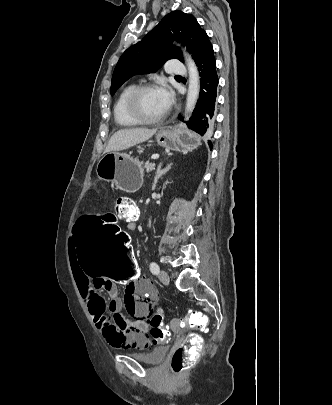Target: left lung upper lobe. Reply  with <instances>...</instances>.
<instances>
[{"instance_id":"left-lung-upper-lobe-1","label":"left lung upper lobe","mask_w":332,"mask_h":405,"mask_svg":"<svg viewBox=\"0 0 332 405\" xmlns=\"http://www.w3.org/2000/svg\"><path fill=\"white\" fill-rule=\"evenodd\" d=\"M173 40L186 46L194 61L211 44L194 16L181 11L169 13L140 42L122 54L113 72L111 95L136 74L156 72L169 59L183 62L180 49L172 46Z\"/></svg>"}]
</instances>
